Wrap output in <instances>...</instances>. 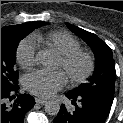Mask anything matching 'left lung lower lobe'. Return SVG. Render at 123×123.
Returning <instances> with one entry per match:
<instances>
[{"mask_svg": "<svg viewBox=\"0 0 123 123\" xmlns=\"http://www.w3.org/2000/svg\"><path fill=\"white\" fill-rule=\"evenodd\" d=\"M66 96L76 108L69 112L62 104L53 123H104L113 103V99L95 94L68 92Z\"/></svg>", "mask_w": 123, "mask_h": 123, "instance_id": "obj_1", "label": "left lung lower lobe"}]
</instances>
